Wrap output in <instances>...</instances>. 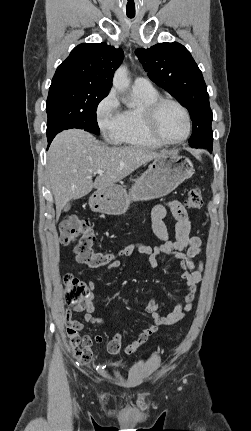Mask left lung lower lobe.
Returning a JSON list of instances; mask_svg holds the SVG:
<instances>
[{
  "mask_svg": "<svg viewBox=\"0 0 251 431\" xmlns=\"http://www.w3.org/2000/svg\"><path fill=\"white\" fill-rule=\"evenodd\" d=\"M198 127H193V130L195 131V132H197L198 131Z\"/></svg>",
  "mask_w": 251,
  "mask_h": 431,
  "instance_id": "0a47b994",
  "label": "left lung lower lobe"
}]
</instances>
